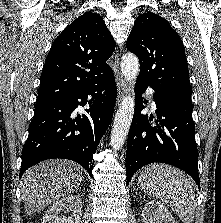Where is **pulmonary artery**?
<instances>
[{"label":"pulmonary artery","mask_w":221,"mask_h":223,"mask_svg":"<svg viewBox=\"0 0 221 223\" xmlns=\"http://www.w3.org/2000/svg\"><path fill=\"white\" fill-rule=\"evenodd\" d=\"M147 94L150 96V98H151V100H152V105L155 107V99H154V96H153V94H154L153 89L149 88V89L147 90Z\"/></svg>","instance_id":"obj_1"}]
</instances>
